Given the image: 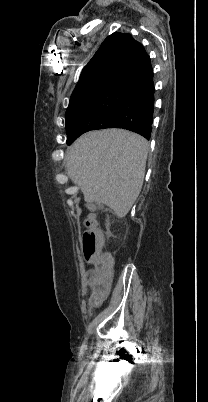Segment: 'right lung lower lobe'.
Returning <instances> with one entry per match:
<instances>
[{"label":"right lung lower lobe","instance_id":"98d812e1","mask_svg":"<svg viewBox=\"0 0 208 402\" xmlns=\"http://www.w3.org/2000/svg\"><path fill=\"white\" fill-rule=\"evenodd\" d=\"M119 90L120 110L108 115L91 116L66 123L68 135L103 128H123L149 139L154 112L153 69L142 47L112 81Z\"/></svg>","mask_w":208,"mask_h":402}]
</instances>
